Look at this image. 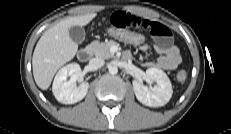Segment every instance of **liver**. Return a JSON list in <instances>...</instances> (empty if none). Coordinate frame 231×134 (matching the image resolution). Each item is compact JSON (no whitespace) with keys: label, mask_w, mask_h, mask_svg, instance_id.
Listing matches in <instances>:
<instances>
[{"label":"liver","mask_w":231,"mask_h":134,"mask_svg":"<svg viewBox=\"0 0 231 134\" xmlns=\"http://www.w3.org/2000/svg\"><path fill=\"white\" fill-rule=\"evenodd\" d=\"M96 15L68 17L43 33L32 57L33 76L39 88L47 90L57 70L74 58L78 45L70 38L69 28L86 26Z\"/></svg>","instance_id":"6515ba94"}]
</instances>
